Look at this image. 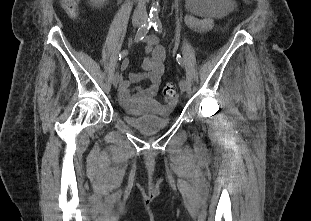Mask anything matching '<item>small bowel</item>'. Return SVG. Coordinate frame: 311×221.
Here are the masks:
<instances>
[{
	"label": "small bowel",
	"instance_id": "c3829d8e",
	"mask_svg": "<svg viewBox=\"0 0 311 221\" xmlns=\"http://www.w3.org/2000/svg\"><path fill=\"white\" fill-rule=\"evenodd\" d=\"M186 25L195 32H206L213 26L214 20L211 17H196L186 15ZM146 58L143 60V70L133 72L120 84V96L124 101L130 99V87L147 81L146 87H138V96L141 98H153L159 89L162 75L165 70L167 50L165 46L158 43L156 37L149 36L144 41Z\"/></svg>",
	"mask_w": 311,
	"mask_h": 221
}]
</instances>
